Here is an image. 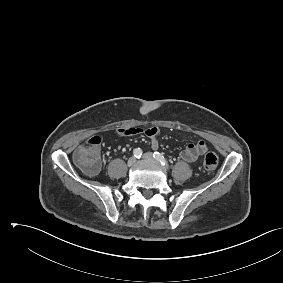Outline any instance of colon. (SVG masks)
Wrapping results in <instances>:
<instances>
[{"label":"colon","mask_w":283,"mask_h":283,"mask_svg":"<svg viewBox=\"0 0 283 283\" xmlns=\"http://www.w3.org/2000/svg\"><path fill=\"white\" fill-rule=\"evenodd\" d=\"M100 138L93 136L74 153L75 162L87 173L95 174L99 170V146ZM218 156L213 152L205 154L203 166L206 170H214L218 166Z\"/></svg>","instance_id":"5ec220e1"}]
</instances>
